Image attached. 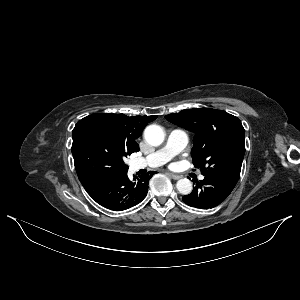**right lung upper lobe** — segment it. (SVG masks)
<instances>
[{
    "label": "right lung upper lobe",
    "instance_id": "1",
    "mask_svg": "<svg viewBox=\"0 0 300 300\" xmlns=\"http://www.w3.org/2000/svg\"><path fill=\"white\" fill-rule=\"evenodd\" d=\"M101 120L102 125L121 139L133 152L139 151L136 139L140 136L144 127L157 116H132L124 114L98 113L93 114Z\"/></svg>",
    "mask_w": 300,
    "mask_h": 300
}]
</instances>
